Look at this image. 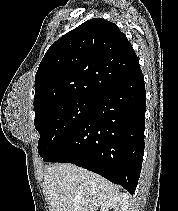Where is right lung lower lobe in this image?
<instances>
[{"mask_svg":"<svg viewBox=\"0 0 178 211\" xmlns=\"http://www.w3.org/2000/svg\"><path fill=\"white\" fill-rule=\"evenodd\" d=\"M145 106L140 70L96 98L87 118L43 160L91 170L133 194L144 154Z\"/></svg>","mask_w":178,"mask_h":211,"instance_id":"1","label":"right lung lower lobe"}]
</instances>
